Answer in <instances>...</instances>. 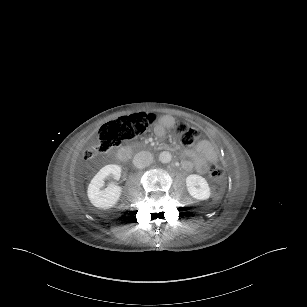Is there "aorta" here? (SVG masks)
Instances as JSON below:
<instances>
[{
    "mask_svg": "<svg viewBox=\"0 0 307 307\" xmlns=\"http://www.w3.org/2000/svg\"><path fill=\"white\" fill-rule=\"evenodd\" d=\"M172 160V154L169 151H162L159 154V161L161 163H170Z\"/></svg>",
    "mask_w": 307,
    "mask_h": 307,
    "instance_id": "762f6f07",
    "label": "aorta"
}]
</instances>
